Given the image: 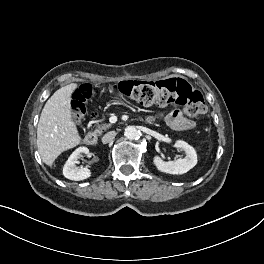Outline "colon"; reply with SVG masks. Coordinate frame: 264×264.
Instances as JSON below:
<instances>
[{"mask_svg":"<svg viewBox=\"0 0 264 264\" xmlns=\"http://www.w3.org/2000/svg\"><path fill=\"white\" fill-rule=\"evenodd\" d=\"M113 89L131 100L145 106L178 104L184 107L189 117H198L206 112L203 95L187 81L172 78L157 82L125 80L116 83ZM89 86L79 87L72 100L74 119L81 122L87 115L86 103L95 94Z\"/></svg>","mask_w":264,"mask_h":264,"instance_id":"1","label":"colon"}]
</instances>
